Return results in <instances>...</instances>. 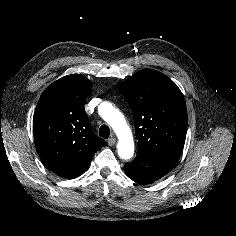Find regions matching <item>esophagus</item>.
<instances>
[{"mask_svg":"<svg viewBox=\"0 0 236 236\" xmlns=\"http://www.w3.org/2000/svg\"><path fill=\"white\" fill-rule=\"evenodd\" d=\"M107 142H108L109 146H114L116 144V139L115 138H109Z\"/></svg>","mask_w":236,"mask_h":236,"instance_id":"esophagus-1","label":"esophagus"}]
</instances>
